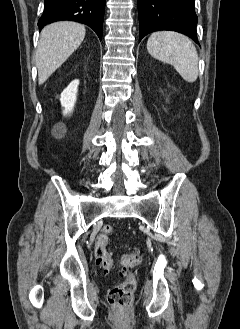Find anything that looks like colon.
Wrapping results in <instances>:
<instances>
[{
  "mask_svg": "<svg viewBox=\"0 0 240 329\" xmlns=\"http://www.w3.org/2000/svg\"><path fill=\"white\" fill-rule=\"evenodd\" d=\"M112 232L113 228L111 225L103 226L97 236L95 246V256L101 265L107 270L113 266L110 252L107 249L109 236ZM141 260L142 254L139 251L125 253L120 257V263L122 265L121 274L123 276V280L108 290L107 299L111 305L123 310H128L132 306L136 282L131 270L137 266Z\"/></svg>",
  "mask_w": 240,
  "mask_h": 329,
  "instance_id": "1",
  "label": "colon"
}]
</instances>
